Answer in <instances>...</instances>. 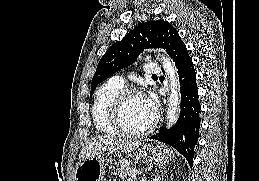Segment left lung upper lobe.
<instances>
[{"mask_svg": "<svg viewBox=\"0 0 259 181\" xmlns=\"http://www.w3.org/2000/svg\"><path fill=\"white\" fill-rule=\"evenodd\" d=\"M180 40L176 29L163 20L139 24L121 41L114 43L100 59L91 83V95L97 85L135 61L145 48H162L170 54Z\"/></svg>", "mask_w": 259, "mask_h": 181, "instance_id": "obj_1", "label": "left lung upper lobe"}]
</instances>
